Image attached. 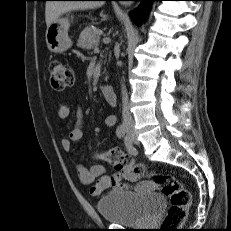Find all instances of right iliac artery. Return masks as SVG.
<instances>
[{
	"label": "right iliac artery",
	"mask_w": 231,
	"mask_h": 231,
	"mask_svg": "<svg viewBox=\"0 0 231 231\" xmlns=\"http://www.w3.org/2000/svg\"><path fill=\"white\" fill-rule=\"evenodd\" d=\"M116 135L118 138H122L125 135V127L124 125H119L116 130Z\"/></svg>",
	"instance_id": "obj_1"
}]
</instances>
